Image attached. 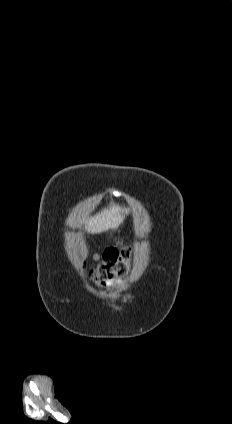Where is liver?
<instances>
[{
  "mask_svg": "<svg viewBox=\"0 0 232 424\" xmlns=\"http://www.w3.org/2000/svg\"><path fill=\"white\" fill-rule=\"evenodd\" d=\"M127 214L128 209L112 204L109 208L103 209L94 217H91L86 222L85 229L91 234L102 233L109 229H116L123 223L125 215Z\"/></svg>",
  "mask_w": 232,
  "mask_h": 424,
  "instance_id": "liver-1",
  "label": "liver"
}]
</instances>
